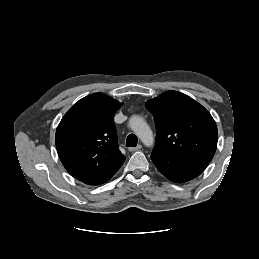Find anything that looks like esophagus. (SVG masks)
<instances>
[{
  "instance_id": "34e87169",
  "label": "esophagus",
  "mask_w": 259,
  "mask_h": 259,
  "mask_svg": "<svg viewBox=\"0 0 259 259\" xmlns=\"http://www.w3.org/2000/svg\"><path fill=\"white\" fill-rule=\"evenodd\" d=\"M141 148H142V145H137L136 147H130L129 151L134 152V151L140 150Z\"/></svg>"
}]
</instances>
